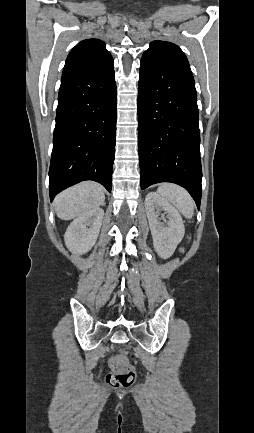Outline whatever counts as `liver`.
Segmentation results:
<instances>
[{"mask_svg":"<svg viewBox=\"0 0 254 433\" xmlns=\"http://www.w3.org/2000/svg\"><path fill=\"white\" fill-rule=\"evenodd\" d=\"M104 201L103 187L96 182L87 181L57 195L54 206L60 219L70 220L98 208Z\"/></svg>","mask_w":254,"mask_h":433,"instance_id":"obj_1","label":"liver"}]
</instances>
